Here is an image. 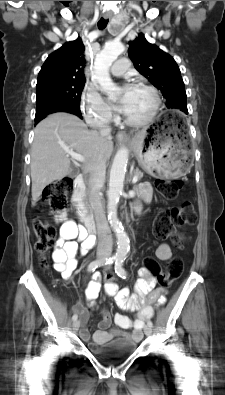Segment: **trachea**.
<instances>
[{"label":"trachea","mask_w":225,"mask_h":395,"mask_svg":"<svg viewBox=\"0 0 225 395\" xmlns=\"http://www.w3.org/2000/svg\"><path fill=\"white\" fill-rule=\"evenodd\" d=\"M108 21H109L108 19L101 18V19L98 21V27H99V29H104V28L107 26Z\"/></svg>","instance_id":"1"}]
</instances>
